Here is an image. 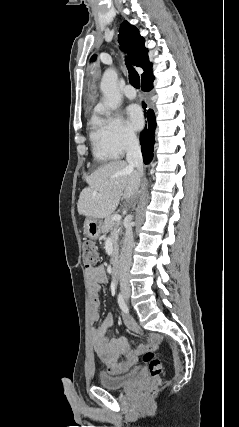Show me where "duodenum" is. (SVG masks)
<instances>
[{"mask_svg":"<svg viewBox=\"0 0 239 427\" xmlns=\"http://www.w3.org/2000/svg\"><path fill=\"white\" fill-rule=\"evenodd\" d=\"M111 277L113 282H117L120 277V269L117 262H114L111 267Z\"/></svg>","mask_w":239,"mask_h":427,"instance_id":"duodenum-1","label":"duodenum"}]
</instances>
